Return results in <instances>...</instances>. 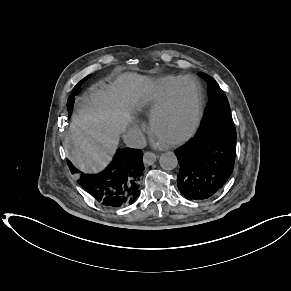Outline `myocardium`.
<instances>
[{"instance_id": "f54148a6", "label": "myocardium", "mask_w": 291, "mask_h": 291, "mask_svg": "<svg viewBox=\"0 0 291 291\" xmlns=\"http://www.w3.org/2000/svg\"><path fill=\"white\" fill-rule=\"evenodd\" d=\"M187 83H192L194 86V111H193L192 124L189 127V129L181 136L173 140L166 141L171 146H177L189 140L196 133V131L198 130L201 124L203 111H204V96H203V90L199 81L193 76L181 77L178 80V82L175 83L171 87V89L166 94L161 105L151 115L150 128H151V131L154 134H156L157 123L159 122L160 119H162L164 116H166L169 113V111L172 109L175 103V99L178 93L181 91L183 86Z\"/></svg>"}]
</instances>
